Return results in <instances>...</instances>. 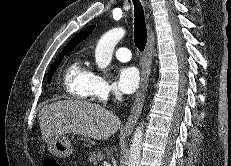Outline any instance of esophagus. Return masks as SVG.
<instances>
[{
  "mask_svg": "<svg viewBox=\"0 0 231 166\" xmlns=\"http://www.w3.org/2000/svg\"><path fill=\"white\" fill-rule=\"evenodd\" d=\"M154 45H155L154 32L150 30L146 49L143 54L140 87L138 92L136 93L135 100L131 109V113L128 117V120L124 128L122 129V133H126V134L131 133L140 116L143 107V101L145 98V93L148 86V81H149V75L151 70V59L154 50Z\"/></svg>",
  "mask_w": 231,
  "mask_h": 166,
  "instance_id": "34e87169",
  "label": "esophagus"
}]
</instances>
